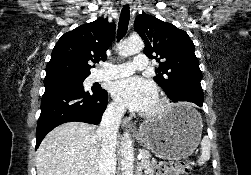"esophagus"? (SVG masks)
Returning <instances> with one entry per match:
<instances>
[{"mask_svg": "<svg viewBox=\"0 0 251 175\" xmlns=\"http://www.w3.org/2000/svg\"><path fill=\"white\" fill-rule=\"evenodd\" d=\"M123 125L130 127V118L129 117H125L123 119Z\"/></svg>", "mask_w": 251, "mask_h": 175, "instance_id": "obj_1", "label": "esophagus"}]
</instances>
